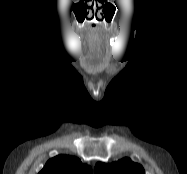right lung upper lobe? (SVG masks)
Here are the masks:
<instances>
[{"instance_id":"right-lung-upper-lobe-1","label":"right lung upper lobe","mask_w":187,"mask_h":174,"mask_svg":"<svg viewBox=\"0 0 187 174\" xmlns=\"http://www.w3.org/2000/svg\"><path fill=\"white\" fill-rule=\"evenodd\" d=\"M39 174H92V169L76 157L59 155L50 159Z\"/></svg>"}]
</instances>
